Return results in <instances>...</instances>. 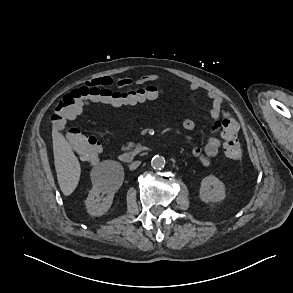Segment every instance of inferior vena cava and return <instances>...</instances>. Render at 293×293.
Wrapping results in <instances>:
<instances>
[{
  "mask_svg": "<svg viewBox=\"0 0 293 293\" xmlns=\"http://www.w3.org/2000/svg\"><path fill=\"white\" fill-rule=\"evenodd\" d=\"M139 165H140V161L132 162V163L129 165V169H130V170H135Z\"/></svg>",
  "mask_w": 293,
  "mask_h": 293,
  "instance_id": "obj_1",
  "label": "inferior vena cava"
}]
</instances>
